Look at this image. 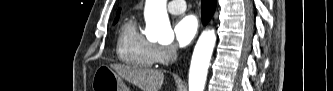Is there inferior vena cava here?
I'll list each match as a JSON object with an SVG mask.
<instances>
[{
	"label": "inferior vena cava",
	"instance_id": "inferior-vena-cava-1",
	"mask_svg": "<svg viewBox=\"0 0 333 91\" xmlns=\"http://www.w3.org/2000/svg\"><path fill=\"white\" fill-rule=\"evenodd\" d=\"M176 59H177V45L173 44L171 46V55H170L171 63L175 62Z\"/></svg>",
	"mask_w": 333,
	"mask_h": 91
}]
</instances>
